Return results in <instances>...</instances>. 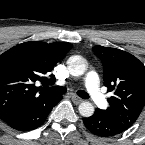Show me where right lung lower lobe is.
I'll use <instances>...</instances> for the list:
<instances>
[{
  "mask_svg": "<svg viewBox=\"0 0 145 145\" xmlns=\"http://www.w3.org/2000/svg\"><path fill=\"white\" fill-rule=\"evenodd\" d=\"M61 98V95H55L36 107L12 113L2 119L15 130L23 132L34 130L44 123L52 108Z\"/></svg>",
  "mask_w": 145,
  "mask_h": 145,
  "instance_id": "98d812e1",
  "label": "right lung lower lobe"
}]
</instances>
